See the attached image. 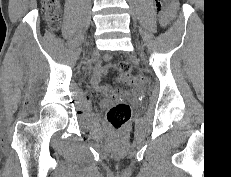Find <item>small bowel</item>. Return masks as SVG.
<instances>
[{
  "label": "small bowel",
  "instance_id": "obj_1",
  "mask_svg": "<svg viewBox=\"0 0 231 177\" xmlns=\"http://www.w3.org/2000/svg\"><path fill=\"white\" fill-rule=\"evenodd\" d=\"M111 59L112 57L110 55L105 56L106 61H110ZM114 69H115V66L113 64H106L104 66H96L93 72L92 78H91V83L93 87L105 95L115 94L116 91L111 86L101 84V78ZM118 82L126 84L128 86H133L137 84V79L129 77V76H125V75H120L118 77Z\"/></svg>",
  "mask_w": 231,
  "mask_h": 177
}]
</instances>
